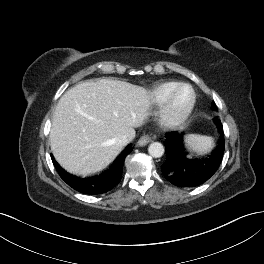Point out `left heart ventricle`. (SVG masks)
<instances>
[{"label": "left heart ventricle", "instance_id": "1", "mask_svg": "<svg viewBox=\"0 0 264 264\" xmlns=\"http://www.w3.org/2000/svg\"><path fill=\"white\" fill-rule=\"evenodd\" d=\"M190 99V91L183 89L177 96L176 103L178 107L184 106Z\"/></svg>", "mask_w": 264, "mask_h": 264}]
</instances>
